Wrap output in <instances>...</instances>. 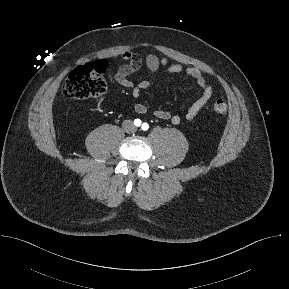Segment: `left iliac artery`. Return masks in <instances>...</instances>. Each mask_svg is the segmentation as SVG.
Here are the masks:
<instances>
[{
  "label": "left iliac artery",
  "mask_w": 289,
  "mask_h": 289,
  "mask_svg": "<svg viewBox=\"0 0 289 289\" xmlns=\"http://www.w3.org/2000/svg\"><path fill=\"white\" fill-rule=\"evenodd\" d=\"M149 128V125L147 123L142 124V130H147Z\"/></svg>",
  "instance_id": "obj_1"
}]
</instances>
